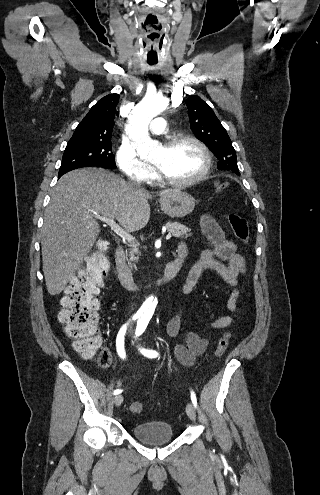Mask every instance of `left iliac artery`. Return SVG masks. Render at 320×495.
Instances as JSON below:
<instances>
[{"label": "left iliac artery", "mask_w": 320, "mask_h": 495, "mask_svg": "<svg viewBox=\"0 0 320 495\" xmlns=\"http://www.w3.org/2000/svg\"><path fill=\"white\" fill-rule=\"evenodd\" d=\"M148 322H149V319H145V318L138 321L136 332H135L136 336L141 335L145 331V329L147 328ZM141 352L144 356H146L148 358H156L158 356V352L155 350L142 349ZM191 400H192V403L194 404V406L197 407V399H196V395L193 391H191Z\"/></svg>", "instance_id": "left-iliac-artery-1"}]
</instances>
